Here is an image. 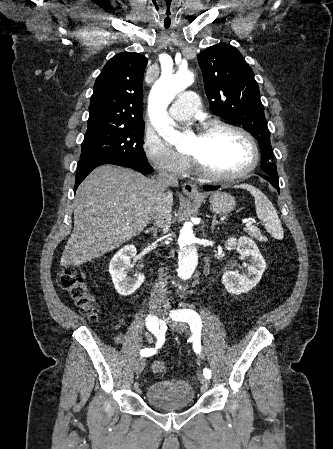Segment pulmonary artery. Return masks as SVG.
<instances>
[{
    "label": "pulmonary artery",
    "instance_id": "e3ab8cb5",
    "mask_svg": "<svg viewBox=\"0 0 333 449\" xmlns=\"http://www.w3.org/2000/svg\"><path fill=\"white\" fill-rule=\"evenodd\" d=\"M199 104L198 95L194 91H185L178 95L169 108L172 118L182 121L189 119Z\"/></svg>",
    "mask_w": 333,
    "mask_h": 449
}]
</instances>
